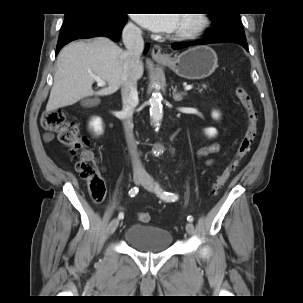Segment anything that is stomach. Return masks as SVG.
Listing matches in <instances>:
<instances>
[{
	"mask_svg": "<svg viewBox=\"0 0 303 303\" xmlns=\"http://www.w3.org/2000/svg\"><path fill=\"white\" fill-rule=\"evenodd\" d=\"M215 51L206 45L189 48L180 55L163 62L178 76L189 79H203L210 76L218 66Z\"/></svg>",
	"mask_w": 303,
	"mask_h": 303,
	"instance_id": "0dacf381",
	"label": "stomach"
}]
</instances>
